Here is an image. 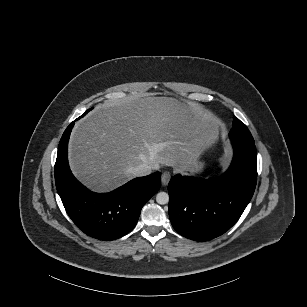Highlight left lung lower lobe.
<instances>
[{
    "mask_svg": "<svg viewBox=\"0 0 307 307\" xmlns=\"http://www.w3.org/2000/svg\"><path fill=\"white\" fill-rule=\"evenodd\" d=\"M234 157L221 177L203 180L175 175L169 191V217L182 236L207 241L230 229L250 202L257 181L254 140L231 138Z\"/></svg>",
    "mask_w": 307,
    "mask_h": 307,
    "instance_id": "1",
    "label": "left lung lower lobe"
}]
</instances>
